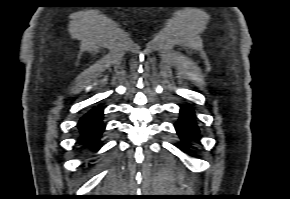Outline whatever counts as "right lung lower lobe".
<instances>
[{"label": "right lung lower lobe", "instance_id": "right-lung-lower-lobe-1", "mask_svg": "<svg viewBox=\"0 0 290 199\" xmlns=\"http://www.w3.org/2000/svg\"><path fill=\"white\" fill-rule=\"evenodd\" d=\"M102 116L103 111L99 108H94L85 114L78 124L81 133L80 142L92 144L94 150L100 147L99 137L105 128L102 123Z\"/></svg>", "mask_w": 290, "mask_h": 199}]
</instances>
